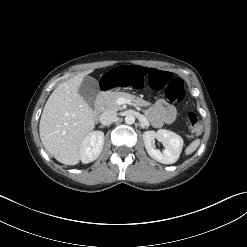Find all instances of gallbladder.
<instances>
[{
    "label": "gallbladder",
    "mask_w": 247,
    "mask_h": 247,
    "mask_svg": "<svg viewBox=\"0 0 247 247\" xmlns=\"http://www.w3.org/2000/svg\"><path fill=\"white\" fill-rule=\"evenodd\" d=\"M99 93V86L96 79L90 76H85L79 87V94L84 101L92 107Z\"/></svg>",
    "instance_id": "bac80fb5"
}]
</instances>
